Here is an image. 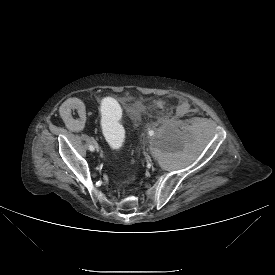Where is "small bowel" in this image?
Wrapping results in <instances>:
<instances>
[{
	"label": "small bowel",
	"mask_w": 275,
	"mask_h": 275,
	"mask_svg": "<svg viewBox=\"0 0 275 275\" xmlns=\"http://www.w3.org/2000/svg\"><path fill=\"white\" fill-rule=\"evenodd\" d=\"M85 108L83 103L76 98L67 100L62 107V120L75 131H80L84 127Z\"/></svg>",
	"instance_id": "obj_1"
}]
</instances>
